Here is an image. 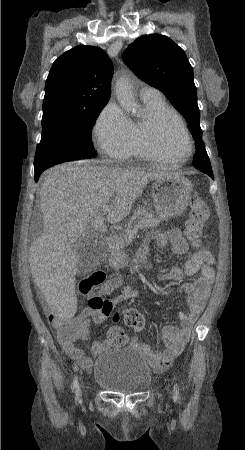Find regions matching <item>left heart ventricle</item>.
Masks as SVG:
<instances>
[{
	"instance_id": "obj_1",
	"label": "left heart ventricle",
	"mask_w": 245,
	"mask_h": 450,
	"mask_svg": "<svg viewBox=\"0 0 245 450\" xmlns=\"http://www.w3.org/2000/svg\"><path fill=\"white\" fill-rule=\"evenodd\" d=\"M160 141L164 148L175 156L185 155L189 151L185 135L173 121H168L160 130Z\"/></svg>"
}]
</instances>
